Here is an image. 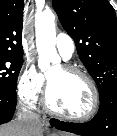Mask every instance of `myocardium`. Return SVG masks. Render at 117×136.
I'll return each instance as SVG.
<instances>
[{
	"mask_svg": "<svg viewBox=\"0 0 117 136\" xmlns=\"http://www.w3.org/2000/svg\"><path fill=\"white\" fill-rule=\"evenodd\" d=\"M62 68L66 73L78 75L86 81V83L88 84V86L91 90V93H92V106L86 114L81 115V116L67 115V114H64V113L54 109L50 104L49 82H47V87H46V92H45V108H46V110L54 116H57L61 119L71 121V122H85V121L92 119L97 114L99 107H100V94H99V90H98L94 80L86 71H84L83 69H81L77 66L64 65V66H62Z\"/></svg>",
	"mask_w": 117,
	"mask_h": 136,
	"instance_id": "myocardium-1",
	"label": "myocardium"
}]
</instances>
